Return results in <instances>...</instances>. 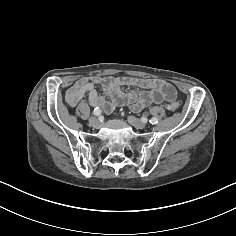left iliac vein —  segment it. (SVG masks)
<instances>
[{"instance_id": "left-iliac-vein-1", "label": "left iliac vein", "mask_w": 236, "mask_h": 236, "mask_svg": "<svg viewBox=\"0 0 236 236\" xmlns=\"http://www.w3.org/2000/svg\"><path fill=\"white\" fill-rule=\"evenodd\" d=\"M127 120L132 126L137 129H143L145 127V123H143L141 120L137 119L134 116H129Z\"/></svg>"}]
</instances>
